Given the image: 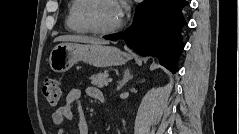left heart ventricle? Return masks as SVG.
Segmentation results:
<instances>
[{"label": "left heart ventricle", "mask_w": 239, "mask_h": 134, "mask_svg": "<svg viewBox=\"0 0 239 134\" xmlns=\"http://www.w3.org/2000/svg\"><path fill=\"white\" fill-rule=\"evenodd\" d=\"M93 19L100 28H109L120 20L117 4L111 0L98 2L93 10Z\"/></svg>", "instance_id": "left-heart-ventricle-1"}]
</instances>
